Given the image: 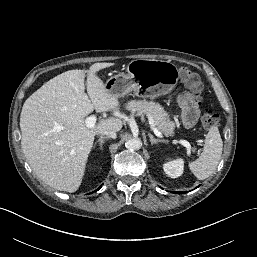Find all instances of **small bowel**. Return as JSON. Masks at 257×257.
Returning a JSON list of instances; mask_svg holds the SVG:
<instances>
[{
    "mask_svg": "<svg viewBox=\"0 0 257 257\" xmlns=\"http://www.w3.org/2000/svg\"><path fill=\"white\" fill-rule=\"evenodd\" d=\"M178 103L181 108L182 123L186 127H192L199 115L198 104L194 96L185 92L179 96Z\"/></svg>",
    "mask_w": 257,
    "mask_h": 257,
    "instance_id": "small-bowel-1",
    "label": "small bowel"
}]
</instances>
